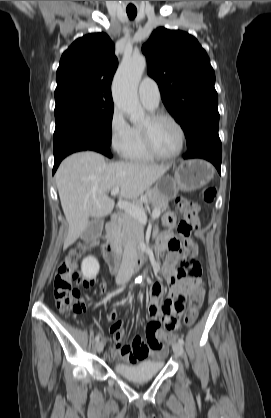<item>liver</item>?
I'll return each mask as SVG.
<instances>
[{
	"label": "liver",
	"instance_id": "1",
	"mask_svg": "<svg viewBox=\"0 0 271 418\" xmlns=\"http://www.w3.org/2000/svg\"><path fill=\"white\" fill-rule=\"evenodd\" d=\"M170 165L134 161L107 163L96 152H79L60 164L55 180L61 206L69 224L64 249L85 231L89 218L109 215L114 201L107 193L120 187V197L136 199L169 170Z\"/></svg>",
	"mask_w": 271,
	"mask_h": 418
}]
</instances>
